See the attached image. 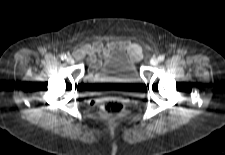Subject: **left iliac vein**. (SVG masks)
I'll use <instances>...</instances> for the list:
<instances>
[{
    "instance_id": "obj_1",
    "label": "left iliac vein",
    "mask_w": 225,
    "mask_h": 155,
    "mask_svg": "<svg viewBox=\"0 0 225 155\" xmlns=\"http://www.w3.org/2000/svg\"><path fill=\"white\" fill-rule=\"evenodd\" d=\"M158 63H159V60L157 58H152L150 60V64L153 65V66H156Z\"/></svg>"
}]
</instances>
